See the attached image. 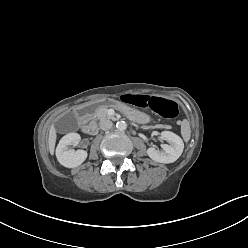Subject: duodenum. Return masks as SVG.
I'll list each match as a JSON object with an SVG mask.
<instances>
[{
  "label": "duodenum",
  "mask_w": 248,
  "mask_h": 248,
  "mask_svg": "<svg viewBox=\"0 0 248 248\" xmlns=\"http://www.w3.org/2000/svg\"><path fill=\"white\" fill-rule=\"evenodd\" d=\"M88 105V103L80 106L77 109V116L80 120L81 127L84 133L86 134H94L97 132V124L95 122H88V118L90 115L84 113V106Z\"/></svg>",
  "instance_id": "1"
}]
</instances>
